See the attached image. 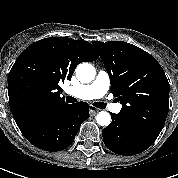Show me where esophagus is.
I'll return each instance as SVG.
<instances>
[{"label": "esophagus", "instance_id": "obj_1", "mask_svg": "<svg viewBox=\"0 0 178 178\" xmlns=\"http://www.w3.org/2000/svg\"><path fill=\"white\" fill-rule=\"evenodd\" d=\"M99 112V109H90V115L94 116Z\"/></svg>", "mask_w": 178, "mask_h": 178}]
</instances>
